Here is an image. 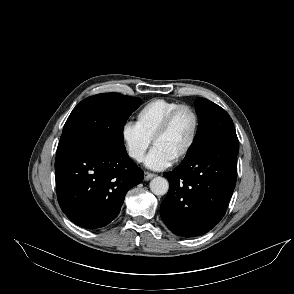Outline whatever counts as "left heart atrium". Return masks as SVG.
I'll return each instance as SVG.
<instances>
[{
  "mask_svg": "<svg viewBox=\"0 0 294 294\" xmlns=\"http://www.w3.org/2000/svg\"><path fill=\"white\" fill-rule=\"evenodd\" d=\"M174 159L162 149L154 146L145 159V165L153 170H163L172 165Z\"/></svg>",
  "mask_w": 294,
  "mask_h": 294,
  "instance_id": "left-heart-atrium-1",
  "label": "left heart atrium"
}]
</instances>
